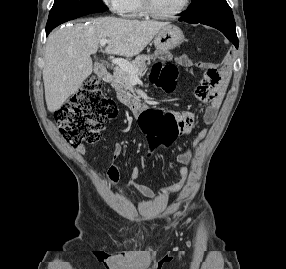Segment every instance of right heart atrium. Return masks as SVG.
<instances>
[{
	"label": "right heart atrium",
	"instance_id": "right-heart-atrium-1",
	"mask_svg": "<svg viewBox=\"0 0 286 269\" xmlns=\"http://www.w3.org/2000/svg\"><path fill=\"white\" fill-rule=\"evenodd\" d=\"M104 4L115 14H121L123 12V6L125 0H103Z\"/></svg>",
	"mask_w": 286,
	"mask_h": 269
}]
</instances>
